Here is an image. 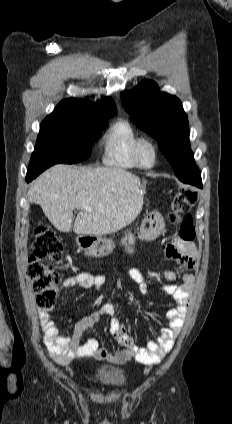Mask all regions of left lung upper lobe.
I'll return each instance as SVG.
<instances>
[{
	"label": "left lung upper lobe",
	"instance_id": "1",
	"mask_svg": "<svg viewBox=\"0 0 232 424\" xmlns=\"http://www.w3.org/2000/svg\"><path fill=\"white\" fill-rule=\"evenodd\" d=\"M121 100L131 121L158 141L179 180L199 171L190 148L188 119L177 97L143 80L134 90L122 92Z\"/></svg>",
	"mask_w": 232,
	"mask_h": 424
}]
</instances>
